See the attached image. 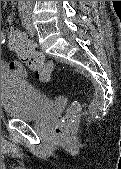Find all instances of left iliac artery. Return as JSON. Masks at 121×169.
Returning a JSON list of instances; mask_svg holds the SVG:
<instances>
[{
    "instance_id": "left-iliac-artery-1",
    "label": "left iliac artery",
    "mask_w": 121,
    "mask_h": 169,
    "mask_svg": "<svg viewBox=\"0 0 121 169\" xmlns=\"http://www.w3.org/2000/svg\"><path fill=\"white\" fill-rule=\"evenodd\" d=\"M22 23L24 25L26 24V15L25 14L22 15Z\"/></svg>"
}]
</instances>
